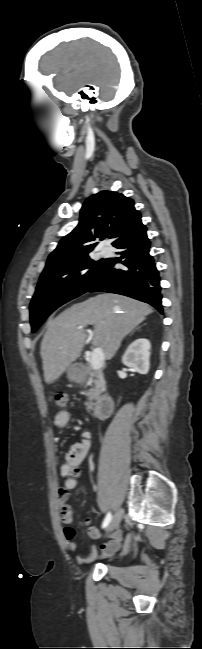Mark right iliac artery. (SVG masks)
Here are the masks:
<instances>
[{
	"instance_id": "1",
	"label": "right iliac artery",
	"mask_w": 202,
	"mask_h": 649,
	"mask_svg": "<svg viewBox=\"0 0 202 649\" xmlns=\"http://www.w3.org/2000/svg\"><path fill=\"white\" fill-rule=\"evenodd\" d=\"M111 519H112V515H111V513L109 512V513L106 515V517H105V519H104V521H103L102 528L107 527V526L109 525V523L111 522Z\"/></svg>"
}]
</instances>
